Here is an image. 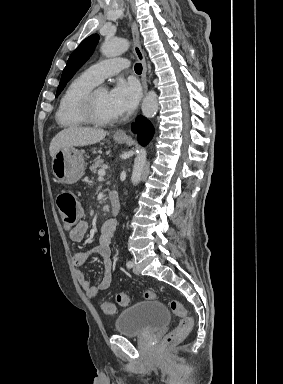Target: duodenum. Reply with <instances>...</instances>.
Returning a JSON list of instances; mask_svg holds the SVG:
<instances>
[{
    "label": "duodenum",
    "instance_id": "duodenum-1",
    "mask_svg": "<svg viewBox=\"0 0 283 384\" xmlns=\"http://www.w3.org/2000/svg\"><path fill=\"white\" fill-rule=\"evenodd\" d=\"M108 196L111 201V212L113 215H116L121 207L119 195L115 189H109Z\"/></svg>",
    "mask_w": 283,
    "mask_h": 384
}]
</instances>
